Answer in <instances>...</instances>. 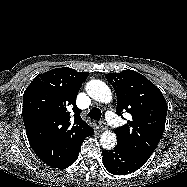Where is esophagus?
I'll return each instance as SVG.
<instances>
[{
    "mask_svg": "<svg viewBox=\"0 0 187 187\" xmlns=\"http://www.w3.org/2000/svg\"><path fill=\"white\" fill-rule=\"evenodd\" d=\"M99 128H100L102 131L106 130V129H107V124H106V122H105V121H101V122L99 123Z\"/></svg>",
    "mask_w": 187,
    "mask_h": 187,
    "instance_id": "obj_1",
    "label": "esophagus"
}]
</instances>
